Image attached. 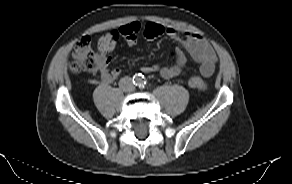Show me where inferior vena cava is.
Instances as JSON below:
<instances>
[{
  "mask_svg": "<svg viewBox=\"0 0 292 184\" xmlns=\"http://www.w3.org/2000/svg\"><path fill=\"white\" fill-rule=\"evenodd\" d=\"M119 87L124 91V92H132L134 90V85L132 83V79L128 76L121 78L119 81Z\"/></svg>",
  "mask_w": 292,
  "mask_h": 184,
  "instance_id": "obj_1",
  "label": "inferior vena cava"
}]
</instances>
